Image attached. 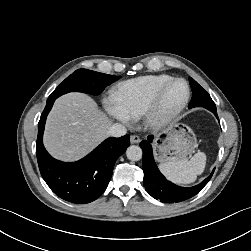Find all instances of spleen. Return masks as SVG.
<instances>
[{
    "label": "spleen",
    "instance_id": "obj_1",
    "mask_svg": "<svg viewBox=\"0 0 251 251\" xmlns=\"http://www.w3.org/2000/svg\"><path fill=\"white\" fill-rule=\"evenodd\" d=\"M206 165V155L203 152L196 153L191 159H179L161 163V172L178 184H189L202 174Z\"/></svg>",
    "mask_w": 251,
    "mask_h": 251
}]
</instances>
